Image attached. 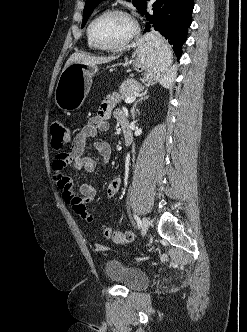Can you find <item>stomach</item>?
<instances>
[{
	"mask_svg": "<svg viewBox=\"0 0 247 332\" xmlns=\"http://www.w3.org/2000/svg\"><path fill=\"white\" fill-rule=\"evenodd\" d=\"M132 46L137 53L134 70L145 72V79L150 83L159 81L172 64L173 56L168 44L158 34L147 33ZM97 71L96 65L79 62L71 63L63 69L55 89L58 108L65 113L78 110L90 91L92 77Z\"/></svg>",
	"mask_w": 247,
	"mask_h": 332,
	"instance_id": "obj_1",
	"label": "stomach"
}]
</instances>
